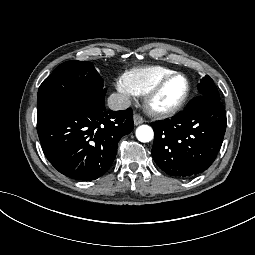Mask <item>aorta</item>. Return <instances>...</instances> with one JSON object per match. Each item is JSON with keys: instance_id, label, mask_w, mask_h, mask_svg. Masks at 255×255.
<instances>
[{"instance_id": "aorta-1", "label": "aorta", "mask_w": 255, "mask_h": 255, "mask_svg": "<svg viewBox=\"0 0 255 255\" xmlns=\"http://www.w3.org/2000/svg\"><path fill=\"white\" fill-rule=\"evenodd\" d=\"M153 136V130L148 125H141L136 130V137L141 142H149L153 139Z\"/></svg>"}]
</instances>
